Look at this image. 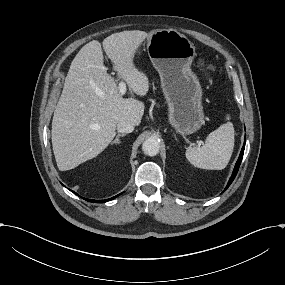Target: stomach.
Returning a JSON list of instances; mask_svg holds the SVG:
<instances>
[{
    "label": "stomach",
    "mask_w": 285,
    "mask_h": 285,
    "mask_svg": "<svg viewBox=\"0 0 285 285\" xmlns=\"http://www.w3.org/2000/svg\"><path fill=\"white\" fill-rule=\"evenodd\" d=\"M146 51L160 76L169 124L180 135L197 132L204 125L205 115L202 86L191 69L196 56L194 45L178 31L162 29L151 33Z\"/></svg>",
    "instance_id": "obj_1"
}]
</instances>
